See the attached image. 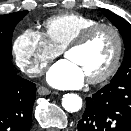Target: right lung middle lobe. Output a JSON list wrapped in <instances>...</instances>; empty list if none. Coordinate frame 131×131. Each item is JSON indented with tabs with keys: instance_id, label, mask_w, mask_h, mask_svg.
Masks as SVG:
<instances>
[{
	"instance_id": "obj_1",
	"label": "right lung middle lobe",
	"mask_w": 131,
	"mask_h": 131,
	"mask_svg": "<svg viewBox=\"0 0 131 131\" xmlns=\"http://www.w3.org/2000/svg\"><path fill=\"white\" fill-rule=\"evenodd\" d=\"M28 11H19L0 15V58L12 59L11 40L15 26L26 16Z\"/></svg>"
}]
</instances>
